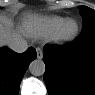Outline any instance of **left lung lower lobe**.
<instances>
[{
    "mask_svg": "<svg viewBox=\"0 0 95 95\" xmlns=\"http://www.w3.org/2000/svg\"><path fill=\"white\" fill-rule=\"evenodd\" d=\"M44 81L50 95H95V30L68 47H44Z\"/></svg>",
    "mask_w": 95,
    "mask_h": 95,
    "instance_id": "1",
    "label": "left lung lower lobe"
}]
</instances>
